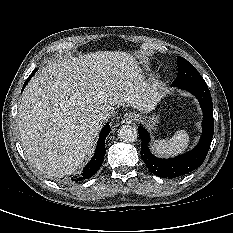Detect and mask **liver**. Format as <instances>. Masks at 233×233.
Wrapping results in <instances>:
<instances>
[{
  "label": "liver",
  "mask_w": 233,
  "mask_h": 233,
  "mask_svg": "<svg viewBox=\"0 0 233 233\" xmlns=\"http://www.w3.org/2000/svg\"><path fill=\"white\" fill-rule=\"evenodd\" d=\"M162 94L144 80L133 56L98 51L43 67L25 88L18 112L22 145L29 161L49 177L74 173L91 152L102 123L95 116L116 105L142 112Z\"/></svg>",
  "instance_id": "6515ba94"
}]
</instances>
